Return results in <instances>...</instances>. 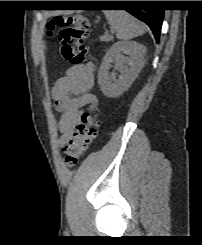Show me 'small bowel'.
I'll list each match as a JSON object with an SVG mask.
<instances>
[{
	"instance_id": "obj_1",
	"label": "small bowel",
	"mask_w": 202,
	"mask_h": 245,
	"mask_svg": "<svg viewBox=\"0 0 202 245\" xmlns=\"http://www.w3.org/2000/svg\"><path fill=\"white\" fill-rule=\"evenodd\" d=\"M94 85L92 64L74 65L67 69L51 89L61 113L59 119L60 137L58 145L64 147L81 124L84 107L94 110L98 106L97 97L91 92Z\"/></svg>"
}]
</instances>
